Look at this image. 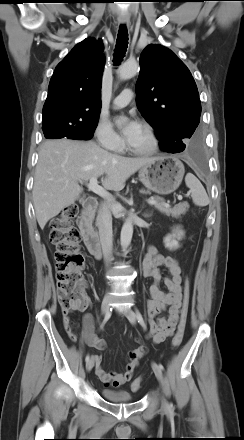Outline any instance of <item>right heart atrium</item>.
Listing matches in <instances>:
<instances>
[{
	"instance_id": "d8ad5b80",
	"label": "right heart atrium",
	"mask_w": 244,
	"mask_h": 440,
	"mask_svg": "<svg viewBox=\"0 0 244 440\" xmlns=\"http://www.w3.org/2000/svg\"><path fill=\"white\" fill-rule=\"evenodd\" d=\"M94 136L98 143L111 151H119L123 146L121 137L114 131L106 119H100L95 127Z\"/></svg>"
}]
</instances>
